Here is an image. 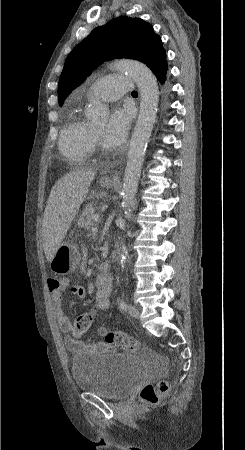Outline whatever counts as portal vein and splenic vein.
Here are the masks:
<instances>
[{"label":"portal vein and splenic vein","mask_w":245,"mask_h":450,"mask_svg":"<svg viewBox=\"0 0 245 450\" xmlns=\"http://www.w3.org/2000/svg\"><path fill=\"white\" fill-rule=\"evenodd\" d=\"M99 220H100V215H99V214H96V215L94 216V221H95V222H99ZM92 230H96V228H93Z\"/></svg>","instance_id":"1"}]
</instances>
